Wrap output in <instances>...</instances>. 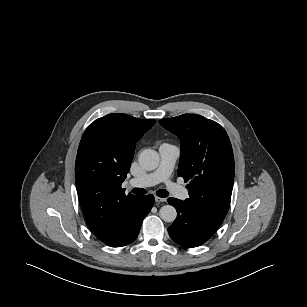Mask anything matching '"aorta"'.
Masks as SVG:
<instances>
[{"instance_id": "762f6f07", "label": "aorta", "mask_w": 307, "mask_h": 307, "mask_svg": "<svg viewBox=\"0 0 307 307\" xmlns=\"http://www.w3.org/2000/svg\"><path fill=\"white\" fill-rule=\"evenodd\" d=\"M159 161V154L153 149H145L138 156L140 166L147 171L156 169ZM159 215L163 221L173 222L177 217V212L173 206L164 205L161 207Z\"/></svg>"}]
</instances>
